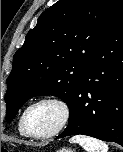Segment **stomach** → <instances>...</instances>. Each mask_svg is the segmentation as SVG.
I'll list each match as a JSON object with an SVG mask.
<instances>
[{
  "label": "stomach",
  "instance_id": "0dacf381",
  "mask_svg": "<svg viewBox=\"0 0 123 152\" xmlns=\"http://www.w3.org/2000/svg\"><path fill=\"white\" fill-rule=\"evenodd\" d=\"M57 152H74V150L70 148H62V149H59Z\"/></svg>",
  "mask_w": 123,
  "mask_h": 152
}]
</instances>
